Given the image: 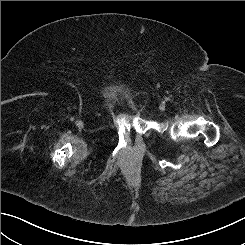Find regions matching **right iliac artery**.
Listing matches in <instances>:
<instances>
[{
  "label": "right iliac artery",
  "mask_w": 245,
  "mask_h": 245,
  "mask_svg": "<svg viewBox=\"0 0 245 245\" xmlns=\"http://www.w3.org/2000/svg\"><path fill=\"white\" fill-rule=\"evenodd\" d=\"M70 120H71V121H73V120H74V118H73V117H71V118H70Z\"/></svg>",
  "instance_id": "obj_1"
}]
</instances>
